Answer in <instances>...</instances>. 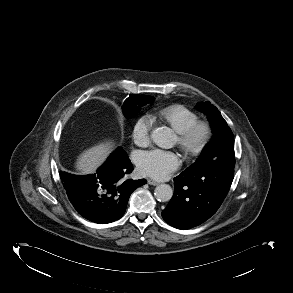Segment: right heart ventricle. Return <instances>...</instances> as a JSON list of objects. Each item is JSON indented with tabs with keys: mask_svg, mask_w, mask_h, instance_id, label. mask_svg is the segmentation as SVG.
Listing matches in <instances>:
<instances>
[{
	"mask_svg": "<svg viewBox=\"0 0 293 293\" xmlns=\"http://www.w3.org/2000/svg\"><path fill=\"white\" fill-rule=\"evenodd\" d=\"M159 116L177 133L184 131L198 121V116L195 112L180 104L170 105L161 109Z\"/></svg>",
	"mask_w": 293,
	"mask_h": 293,
	"instance_id": "right-heart-ventricle-1",
	"label": "right heart ventricle"
}]
</instances>
